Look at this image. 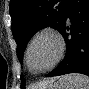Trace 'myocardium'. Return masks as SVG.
<instances>
[{"label": "myocardium", "instance_id": "obj_1", "mask_svg": "<svg viewBox=\"0 0 89 89\" xmlns=\"http://www.w3.org/2000/svg\"><path fill=\"white\" fill-rule=\"evenodd\" d=\"M46 34L53 36L57 40L58 47H59L58 54H57V57L55 58V60L48 67L41 69V70H34L30 64V59H29L30 50H31L34 42L39 37L46 35ZM65 50H66V41H65V38L62 35V33L52 26L42 27L32 36L31 40L28 43L26 53H25L26 65H27L28 69L34 74H40V73H44L46 71H50L60 63V61L62 60V58L65 54Z\"/></svg>", "mask_w": 89, "mask_h": 89}]
</instances>
